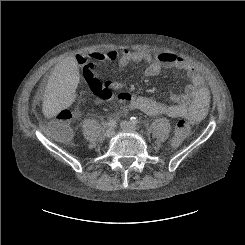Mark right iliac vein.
I'll use <instances>...</instances> for the list:
<instances>
[{"label": "right iliac vein", "mask_w": 245, "mask_h": 245, "mask_svg": "<svg viewBox=\"0 0 245 245\" xmlns=\"http://www.w3.org/2000/svg\"><path fill=\"white\" fill-rule=\"evenodd\" d=\"M114 134H115V130L113 128H108L104 133L105 137L107 138L113 137Z\"/></svg>", "instance_id": "right-iliac-vein-1"}]
</instances>
